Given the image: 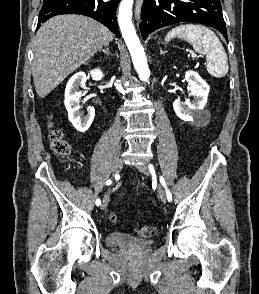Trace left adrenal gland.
Returning a JSON list of instances; mask_svg holds the SVG:
<instances>
[{"mask_svg": "<svg viewBox=\"0 0 259 294\" xmlns=\"http://www.w3.org/2000/svg\"><path fill=\"white\" fill-rule=\"evenodd\" d=\"M166 52L165 51H162L161 49H160V55H163V54H165Z\"/></svg>", "mask_w": 259, "mask_h": 294, "instance_id": "1", "label": "left adrenal gland"}]
</instances>
